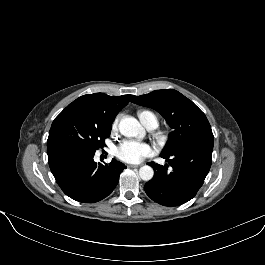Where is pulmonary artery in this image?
<instances>
[{"mask_svg": "<svg viewBox=\"0 0 265 265\" xmlns=\"http://www.w3.org/2000/svg\"><path fill=\"white\" fill-rule=\"evenodd\" d=\"M145 127L148 130H153L156 127L154 120L148 121L147 124L145 125Z\"/></svg>", "mask_w": 265, "mask_h": 265, "instance_id": "obj_1", "label": "pulmonary artery"}]
</instances>
